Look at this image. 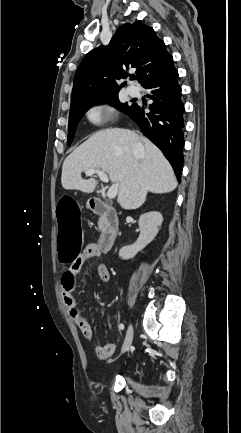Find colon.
<instances>
[{
    "mask_svg": "<svg viewBox=\"0 0 241 433\" xmlns=\"http://www.w3.org/2000/svg\"><path fill=\"white\" fill-rule=\"evenodd\" d=\"M58 207L55 220L60 221L57 228L59 265H72L79 257V247H83V232L81 230V213L79 205L75 204L72 192H65L63 197H58ZM62 283L66 292H75L74 283L76 274L73 268L65 271Z\"/></svg>",
    "mask_w": 241,
    "mask_h": 433,
    "instance_id": "1",
    "label": "colon"
}]
</instances>
